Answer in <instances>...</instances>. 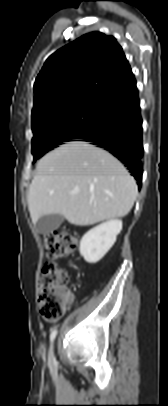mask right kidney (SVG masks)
<instances>
[{
    "instance_id": "right-kidney-1",
    "label": "right kidney",
    "mask_w": 168,
    "mask_h": 406,
    "mask_svg": "<svg viewBox=\"0 0 168 406\" xmlns=\"http://www.w3.org/2000/svg\"><path fill=\"white\" fill-rule=\"evenodd\" d=\"M121 230L122 221L119 219H111L92 228L81 239L80 254L88 263H97L114 245Z\"/></svg>"
}]
</instances>
